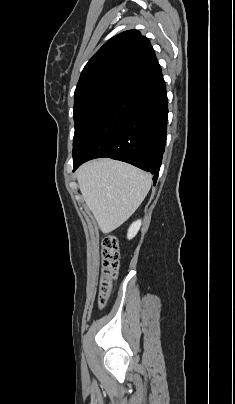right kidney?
Segmentation results:
<instances>
[{
  "label": "right kidney",
  "mask_w": 235,
  "mask_h": 404,
  "mask_svg": "<svg viewBox=\"0 0 235 404\" xmlns=\"http://www.w3.org/2000/svg\"><path fill=\"white\" fill-rule=\"evenodd\" d=\"M140 226H141V221L140 220L134 222L130 226V228L128 230V234H127L128 239H132L133 237H135V235L137 234V232L140 229Z\"/></svg>",
  "instance_id": "1"
}]
</instances>
